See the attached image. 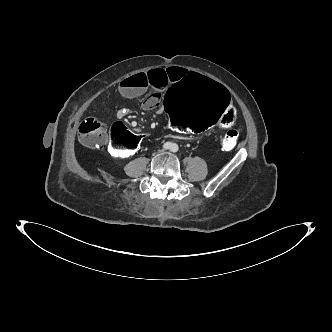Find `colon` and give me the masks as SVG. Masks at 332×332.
<instances>
[{"label":"colon","instance_id":"colon-1","mask_svg":"<svg viewBox=\"0 0 332 332\" xmlns=\"http://www.w3.org/2000/svg\"><path fill=\"white\" fill-rule=\"evenodd\" d=\"M164 107L171 125L186 134L203 133L219 127L224 129L223 148L233 149L239 130L233 129L239 110L231 91L224 85L200 74L181 78L166 92ZM80 142L88 147L102 145L105 153L117 159L136 154L141 146L139 135L121 123H114L106 131L95 118H86L79 126Z\"/></svg>","mask_w":332,"mask_h":332}]
</instances>
